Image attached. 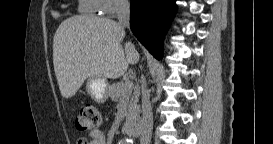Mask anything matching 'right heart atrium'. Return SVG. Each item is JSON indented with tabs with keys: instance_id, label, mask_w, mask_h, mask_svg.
I'll list each match as a JSON object with an SVG mask.
<instances>
[{
	"instance_id": "1",
	"label": "right heart atrium",
	"mask_w": 273,
	"mask_h": 144,
	"mask_svg": "<svg viewBox=\"0 0 273 144\" xmlns=\"http://www.w3.org/2000/svg\"><path fill=\"white\" fill-rule=\"evenodd\" d=\"M97 3L98 11L109 16L115 15L128 5L126 0H97Z\"/></svg>"
}]
</instances>
